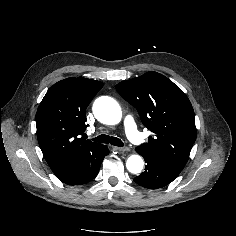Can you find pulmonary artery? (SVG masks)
Wrapping results in <instances>:
<instances>
[{"instance_id":"1","label":"pulmonary artery","mask_w":236,"mask_h":236,"mask_svg":"<svg viewBox=\"0 0 236 236\" xmlns=\"http://www.w3.org/2000/svg\"><path fill=\"white\" fill-rule=\"evenodd\" d=\"M124 128L127 137L134 144L142 143V136L137 129L134 119L131 116H126L124 119Z\"/></svg>"}]
</instances>
